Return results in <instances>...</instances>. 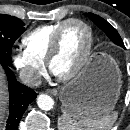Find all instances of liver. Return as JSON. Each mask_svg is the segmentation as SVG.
<instances>
[{"label": "liver", "mask_w": 130, "mask_h": 130, "mask_svg": "<svg viewBox=\"0 0 130 130\" xmlns=\"http://www.w3.org/2000/svg\"><path fill=\"white\" fill-rule=\"evenodd\" d=\"M6 107H7V85L4 71L0 66V126L3 123Z\"/></svg>", "instance_id": "6515ba94"}]
</instances>
